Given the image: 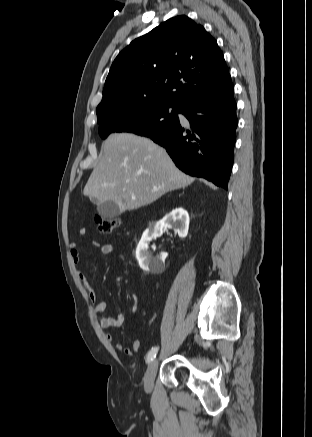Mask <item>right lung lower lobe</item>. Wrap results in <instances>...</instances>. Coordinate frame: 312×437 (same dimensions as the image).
Here are the masks:
<instances>
[{
  "label": "right lung lower lobe",
  "instance_id": "right-lung-lower-lobe-1",
  "mask_svg": "<svg viewBox=\"0 0 312 437\" xmlns=\"http://www.w3.org/2000/svg\"><path fill=\"white\" fill-rule=\"evenodd\" d=\"M180 112L190 127L178 120L166 130L147 137L163 146L183 172L227 189L238 124L231 77L185 103Z\"/></svg>",
  "mask_w": 312,
  "mask_h": 437
}]
</instances>
